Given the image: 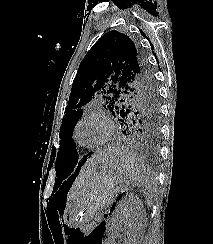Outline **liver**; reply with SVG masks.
I'll list each match as a JSON object with an SVG mask.
<instances>
[{
	"mask_svg": "<svg viewBox=\"0 0 213 244\" xmlns=\"http://www.w3.org/2000/svg\"><path fill=\"white\" fill-rule=\"evenodd\" d=\"M107 157L108 152H104L94 154L90 159H88V161L80 171V174L76 179V182L73 184L71 188L70 194L68 196V201H70L71 198L75 195L76 190L84 183L87 176L96 168L97 164L106 160Z\"/></svg>",
	"mask_w": 213,
	"mask_h": 244,
	"instance_id": "1",
	"label": "liver"
}]
</instances>
